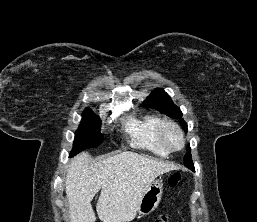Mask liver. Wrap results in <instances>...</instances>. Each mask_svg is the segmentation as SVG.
Here are the masks:
<instances>
[{"mask_svg":"<svg viewBox=\"0 0 257 222\" xmlns=\"http://www.w3.org/2000/svg\"><path fill=\"white\" fill-rule=\"evenodd\" d=\"M169 162L123 151L97 162L88 153L75 156L68 165L66 195L70 222L96 220L91 201L101 189L96 209L103 222H128L135 218L144 192L157 176L176 170Z\"/></svg>","mask_w":257,"mask_h":222,"instance_id":"liver-1","label":"liver"}]
</instances>
